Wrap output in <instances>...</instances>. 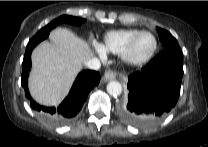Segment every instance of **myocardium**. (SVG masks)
Wrapping results in <instances>:
<instances>
[{"label": "myocardium", "instance_id": "myocardium-1", "mask_svg": "<svg viewBox=\"0 0 208 147\" xmlns=\"http://www.w3.org/2000/svg\"><path fill=\"white\" fill-rule=\"evenodd\" d=\"M145 34L152 36V38L154 39V47H153L152 51L146 57H144L142 59H136L132 56L133 48H134L136 42L138 41V39ZM157 50H158V40H157L156 35L151 31L143 30V31H140L139 33H137L135 36H133L130 39V41L127 43V45L125 46V48L121 52L120 56H121V59L128 65L141 66V65H144L147 62H149L154 57Z\"/></svg>", "mask_w": 208, "mask_h": 147}]
</instances>
